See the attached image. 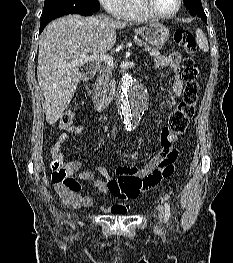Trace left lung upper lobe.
Here are the masks:
<instances>
[{"instance_id": "5c2ea615", "label": "left lung upper lobe", "mask_w": 233, "mask_h": 263, "mask_svg": "<svg viewBox=\"0 0 233 263\" xmlns=\"http://www.w3.org/2000/svg\"><path fill=\"white\" fill-rule=\"evenodd\" d=\"M187 9L193 16H198L203 18L205 13L201 4V0H184Z\"/></svg>"}]
</instances>
